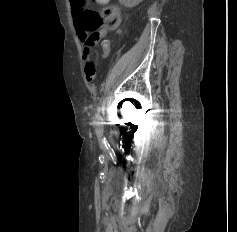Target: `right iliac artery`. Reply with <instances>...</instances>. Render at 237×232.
<instances>
[{
    "label": "right iliac artery",
    "instance_id": "obj_1",
    "mask_svg": "<svg viewBox=\"0 0 237 232\" xmlns=\"http://www.w3.org/2000/svg\"><path fill=\"white\" fill-rule=\"evenodd\" d=\"M97 112H98V113H97V115H96V118H97V119H100V118H101V116H100V114H99V112H100V107H98Z\"/></svg>",
    "mask_w": 237,
    "mask_h": 232
}]
</instances>
